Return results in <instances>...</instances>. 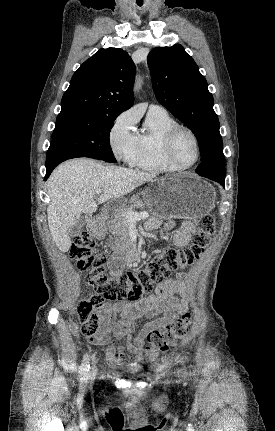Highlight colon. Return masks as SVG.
Returning a JSON list of instances; mask_svg holds the SVG:
<instances>
[{"mask_svg":"<svg viewBox=\"0 0 275 431\" xmlns=\"http://www.w3.org/2000/svg\"><path fill=\"white\" fill-rule=\"evenodd\" d=\"M215 229L214 217L203 215L196 221V231L189 247L164 249L143 265L117 275L106 272V256L96 252L89 233L82 232L76 236L70 255L78 268L87 272L86 280L96 291V295L81 301L77 307L76 317L83 335L90 338L100 331L104 320L101 310L104 300H135L150 292L155 284L162 283L172 272L191 266L204 252ZM190 326L191 316L185 313L172 323L149 332L148 356L154 360L176 345L187 336Z\"/></svg>","mask_w":275,"mask_h":431,"instance_id":"5ec220e1","label":"colon"}]
</instances>
